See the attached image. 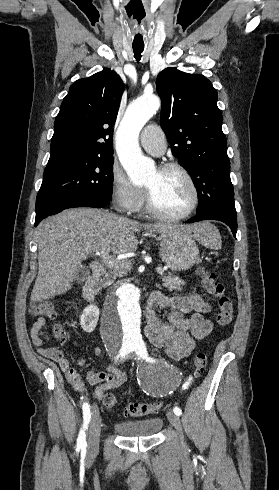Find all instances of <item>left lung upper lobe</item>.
I'll return each mask as SVG.
<instances>
[{"mask_svg":"<svg viewBox=\"0 0 279 490\" xmlns=\"http://www.w3.org/2000/svg\"><path fill=\"white\" fill-rule=\"evenodd\" d=\"M156 87L162 99L161 127L172 154L192 176L197 214L216 210L237 215L216 89L203 75L176 68L160 72Z\"/></svg>","mask_w":279,"mask_h":490,"instance_id":"obj_1","label":"left lung upper lobe"}]
</instances>
